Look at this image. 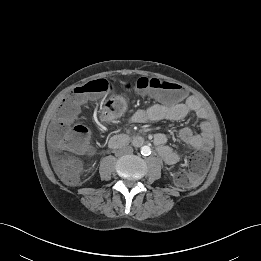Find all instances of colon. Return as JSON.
Instances as JSON below:
<instances>
[{"label":"colon","mask_w":261,"mask_h":261,"mask_svg":"<svg viewBox=\"0 0 261 261\" xmlns=\"http://www.w3.org/2000/svg\"><path fill=\"white\" fill-rule=\"evenodd\" d=\"M140 92L147 93L162 103L178 102L183 97L179 85L158 78L141 77L128 85ZM111 84L106 79H95L76 87L67 97L59 110V115L64 119L75 116L80 99L84 95L104 93L108 95V106L115 116L122 114L127 105L119 95L110 94ZM54 144L74 155H83L91 151L92 145L87 127L77 125L69 126L67 123L57 125L52 130ZM74 155H60L55 158V168L62 179L74 184L82 170V161ZM211 161L210 153L200 150L189 157L188 169L178 170L174 173V181L180 187L195 186L208 169Z\"/></svg>","instance_id":"colon-1"}]
</instances>
